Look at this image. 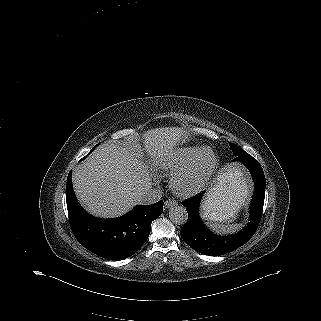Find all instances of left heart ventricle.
<instances>
[{"mask_svg":"<svg viewBox=\"0 0 321 321\" xmlns=\"http://www.w3.org/2000/svg\"><path fill=\"white\" fill-rule=\"evenodd\" d=\"M211 160L209 153H204L201 160H200V168L204 169L208 166L209 162Z\"/></svg>","mask_w":321,"mask_h":321,"instance_id":"obj_1","label":"left heart ventricle"}]
</instances>
